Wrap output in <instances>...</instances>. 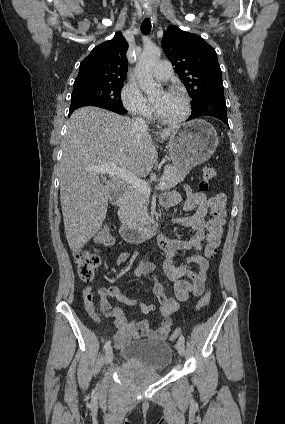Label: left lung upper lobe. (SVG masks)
<instances>
[{
    "label": "left lung upper lobe",
    "instance_id": "1",
    "mask_svg": "<svg viewBox=\"0 0 285 424\" xmlns=\"http://www.w3.org/2000/svg\"><path fill=\"white\" fill-rule=\"evenodd\" d=\"M161 46L192 97V107L207 95L224 93L216 51L202 37L172 25Z\"/></svg>",
    "mask_w": 285,
    "mask_h": 424
}]
</instances>
